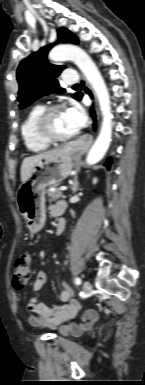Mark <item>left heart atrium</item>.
<instances>
[{"instance_id":"left-heart-atrium-1","label":"left heart atrium","mask_w":145,"mask_h":385,"mask_svg":"<svg viewBox=\"0 0 145 385\" xmlns=\"http://www.w3.org/2000/svg\"><path fill=\"white\" fill-rule=\"evenodd\" d=\"M66 116L72 124L73 128L77 131L81 129L86 121L84 111L75 103H72L66 110Z\"/></svg>"}]
</instances>
